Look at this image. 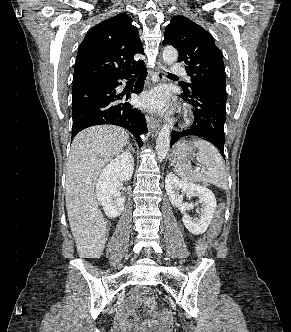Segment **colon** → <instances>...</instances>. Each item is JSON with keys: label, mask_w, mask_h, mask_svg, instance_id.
Listing matches in <instances>:
<instances>
[{"label": "colon", "mask_w": 291, "mask_h": 332, "mask_svg": "<svg viewBox=\"0 0 291 332\" xmlns=\"http://www.w3.org/2000/svg\"><path fill=\"white\" fill-rule=\"evenodd\" d=\"M221 221H222V209L220 208L216 213L215 219L212 223V227L208 234V241L211 245L214 244L217 236L219 235V232L221 230Z\"/></svg>", "instance_id": "colon-1"}]
</instances>
